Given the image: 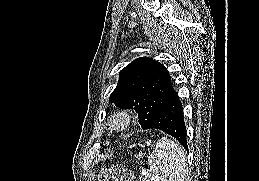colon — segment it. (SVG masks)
Listing matches in <instances>:
<instances>
[{
	"mask_svg": "<svg viewBox=\"0 0 259 181\" xmlns=\"http://www.w3.org/2000/svg\"><path fill=\"white\" fill-rule=\"evenodd\" d=\"M100 181H135L132 173L121 164L102 168L99 175Z\"/></svg>",
	"mask_w": 259,
	"mask_h": 181,
	"instance_id": "obj_1",
	"label": "colon"
}]
</instances>
